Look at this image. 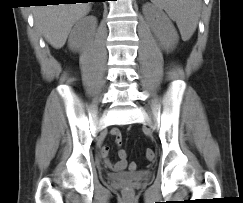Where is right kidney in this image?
Instances as JSON below:
<instances>
[{"label": "right kidney", "mask_w": 243, "mask_h": 203, "mask_svg": "<svg viewBox=\"0 0 243 203\" xmlns=\"http://www.w3.org/2000/svg\"><path fill=\"white\" fill-rule=\"evenodd\" d=\"M96 27L97 19L94 16H88L78 21L69 35V48L74 51L79 50L84 45L86 39L94 35Z\"/></svg>", "instance_id": "right-kidney-1"}]
</instances>
